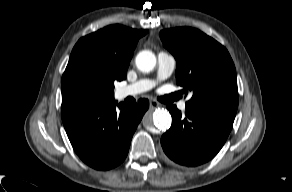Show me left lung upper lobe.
Wrapping results in <instances>:
<instances>
[{"mask_svg":"<svg viewBox=\"0 0 292 192\" xmlns=\"http://www.w3.org/2000/svg\"><path fill=\"white\" fill-rule=\"evenodd\" d=\"M160 38L177 61V84L183 87V93H193L186 109L235 117L236 70L226 48L190 27L162 30Z\"/></svg>","mask_w":292,"mask_h":192,"instance_id":"5c2ea615","label":"left lung upper lobe"}]
</instances>
